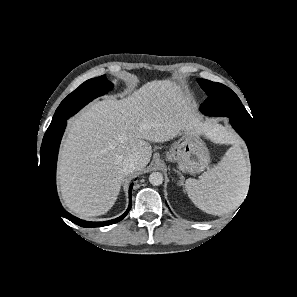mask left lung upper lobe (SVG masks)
<instances>
[{
	"mask_svg": "<svg viewBox=\"0 0 297 297\" xmlns=\"http://www.w3.org/2000/svg\"><path fill=\"white\" fill-rule=\"evenodd\" d=\"M208 98L200 110L211 116H228L253 125V119L246 111L238 96L227 86L206 79L197 80ZM254 126V125H253Z\"/></svg>",
	"mask_w": 297,
	"mask_h": 297,
	"instance_id": "5c2ea615",
	"label": "left lung upper lobe"
}]
</instances>
